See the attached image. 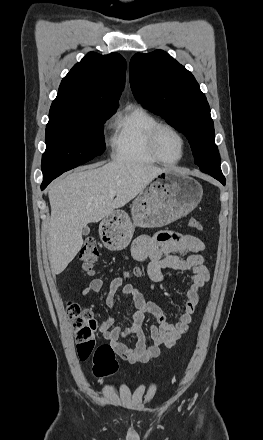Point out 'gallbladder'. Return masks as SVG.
Segmentation results:
<instances>
[{"instance_id":"bac80fb5","label":"gallbladder","mask_w":263,"mask_h":440,"mask_svg":"<svg viewBox=\"0 0 263 440\" xmlns=\"http://www.w3.org/2000/svg\"><path fill=\"white\" fill-rule=\"evenodd\" d=\"M90 233V228L88 226H85L82 230L83 235H88Z\"/></svg>"}]
</instances>
